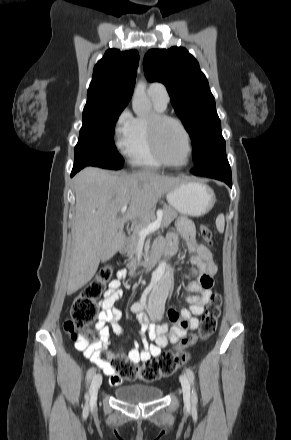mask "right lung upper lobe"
<instances>
[{
    "label": "right lung upper lobe",
    "instance_id": "1",
    "mask_svg": "<svg viewBox=\"0 0 291 440\" xmlns=\"http://www.w3.org/2000/svg\"><path fill=\"white\" fill-rule=\"evenodd\" d=\"M139 54L136 50H107L95 65L87 91V103L128 104L136 80Z\"/></svg>",
    "mask_w": 291,
    "mask_h": 440
}]
</instances>
